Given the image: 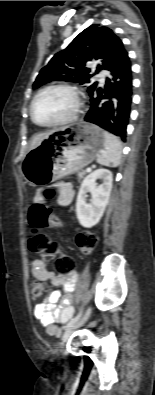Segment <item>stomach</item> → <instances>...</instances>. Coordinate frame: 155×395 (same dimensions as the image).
<instances>
[{"mask_svg":"<svg viewBox=\"0 0 155 395\" xmlns=\"http://www.w3.org/2000/svg\"><path fill=\"white\" fill-rule=\"evenodd\" d=\"M104 146V131L84 121L62 127L31 149L22 162L34 186L54 182L90 164Z\"/></svg>","mask_w":155,"mask_h":395,"instance_id":"0dacf381","label":"stomach"}]
</instances>
